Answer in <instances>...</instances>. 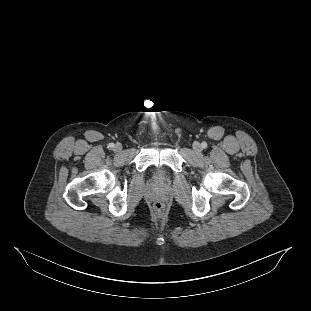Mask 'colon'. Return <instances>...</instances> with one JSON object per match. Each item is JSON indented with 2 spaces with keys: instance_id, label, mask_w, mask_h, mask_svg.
<instances>
[{
  "instance_id": "1",
  "label": "colon",
  "mask_w": 311,
  "mask_h": 311,
  "mask_svg": "<svg viewBox=\"0 0 311 311\" xmlns=\"http://www.w3.org/2000/svg\"><path fill=\"white\" fill-rule=\"evenodd\" d=\"M155 208H156L157 210H160V209L162 208V206H161V204L157 203V204L155 205Z\"/></svg>"
}]
</instances>
